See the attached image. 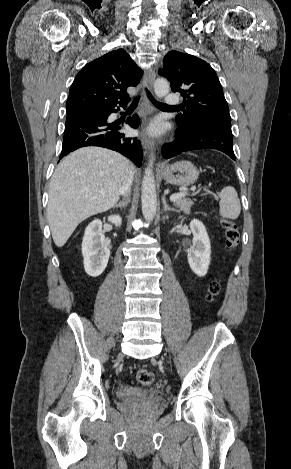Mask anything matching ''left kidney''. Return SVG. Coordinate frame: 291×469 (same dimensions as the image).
Returning a JSON list of instances; mask_svg holds the SVG:
<instances>
[{
  "instance_id": "5707ae66",
  "label": "left kidney",
  "mask_w": 291,
  "mask_h": 469,
  "mask_svg": "<svg viewBox=\"0 0 291 469\" xmlns=\"http://www.w3.org/2000/svg\"><path fill=\"white\" fill-rule=\"evenodd\" d=\"M190 229L193 233V240L187 255L188 263L197 276L203 277L207 274L211 259L210 239L204 224L199 220H192Z\"/></svg>"
}]
</instances>
